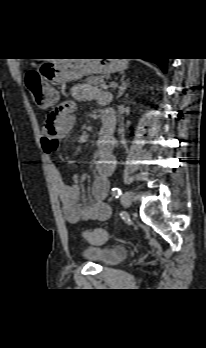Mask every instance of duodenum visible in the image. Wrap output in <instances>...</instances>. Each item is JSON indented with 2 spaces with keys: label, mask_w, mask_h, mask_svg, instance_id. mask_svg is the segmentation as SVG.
I'll list each match as a JSON object with an SVG mask.
<instances>
[{
  "label": "duodenum",
  "mask_w": 206,
  "mask_h": 348,
  "mask_svg": "<svg viewBox=\"0 0 206 348\" xmlns=\"http://www.w3.org/2000/svg\"><path fill=\"white\" fill-rule=\"evenodd\" d=\"M103 126L98 131L97 137L102 147L112 150L114 142V128L116 124V114L112 107H105L102 112Z\"/></svg>",
  "instance_id": "1"
}]
</instances>
